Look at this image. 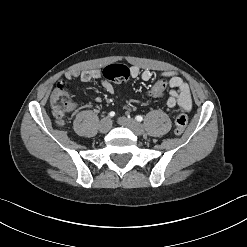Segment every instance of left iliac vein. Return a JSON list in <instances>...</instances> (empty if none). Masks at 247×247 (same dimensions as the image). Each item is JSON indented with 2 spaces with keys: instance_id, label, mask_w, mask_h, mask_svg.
<instances>
[{
  "instance_id": "obj_1",
  "label": "left iliac vein",
  "mask_w": 247,
  "mask_h": 247,
  "mask_svg": "<svg viewBox=\"0 0 247 247\" xmlns=\"http://www.w3.org/2000/svg\"><path fill=\"white\" fill-rule=\"evenodd\" d=\"M118 123L124 127L129 128L138 136L144 134L143 126L134 119L127 118V117H120L118 118Z\"/></svg>"
}]
</instances>
